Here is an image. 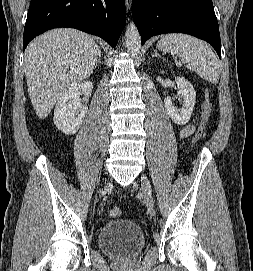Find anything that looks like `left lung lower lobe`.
I'll return each mask as SVG.
<instances>
[{"label": "left lung lower lobe", "instance_id": "0a47b994", "mask_svg": "<svg viewBox=\"0 0 253 271\" xmlns=\"http://www.w3.org/2000/svg\"><path fill=\"white\" fill-rule=\"evenodd\" d=\"M132 16L141 44L158 34L186 33L210 43L221 58L212 0H132Z\"/></svg>", "mask_w": 253, "mask_h": 271}]
</instances>
